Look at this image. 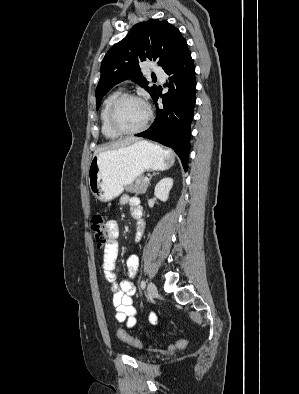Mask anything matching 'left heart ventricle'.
Masks as SVG:
<instances>
[{"mask_svg": "<svg viewBox=\"0 0 299 394\" xmlns=\"http://www.w3.org/2000/svg\"><path fill=\"white\" fill-rule=\"evenodd\" d=\"M147 115L146 106L137 100H125L117 108L115 114L116 124L124 130L139 127Z\"/></svg>", "mask_w": 299, "mask_h": 394, "instance_id": "1", "label": "left heart ventricle"}]
</instances>
